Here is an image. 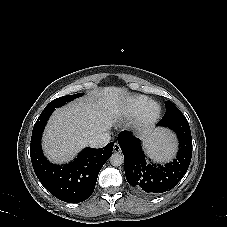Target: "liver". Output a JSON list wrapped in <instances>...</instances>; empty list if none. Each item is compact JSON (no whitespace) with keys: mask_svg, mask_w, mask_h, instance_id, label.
Returning <instances> with one entry per match:
<instances>
[{"mask_svg":"<svg viewBox=\"0 0 227 227\" xmlns=\"http://www.w3.org/2000/svg\"><path fill=\"white\" fill-rule=\"evenodd\" d=\"M127 91L105 87L57 109L43 137V149L54 163L71 160L91 137L113 127L126 113Z\"/></svg>","mask_w":227,"mask_h":227,"instance_id":"6515ba94","label":"liver"}]
</instances>
